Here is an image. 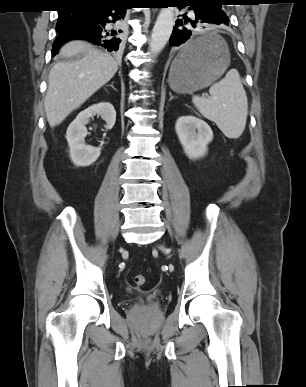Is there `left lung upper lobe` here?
<instances>
[{"label": "left lung upper lobe", "instance_id": "5c2ea615", "mask_svg": "<svg viewBox=\"0 0 306 387\" xmlns=\"http://www.w3.org/2000/svg\"><path fill=\"white\" fill-rule=\"evenodd\" d=\"M193 1H196V2H212V3H215V4L218 5V7L220 8V11H221L223 17L228 18V16L225 14V12L223 11V9L221 8L222 3H223L225 0H193Z\"/></svg>", "mask_w": 306, "mask_h": 387}]
</instances>
